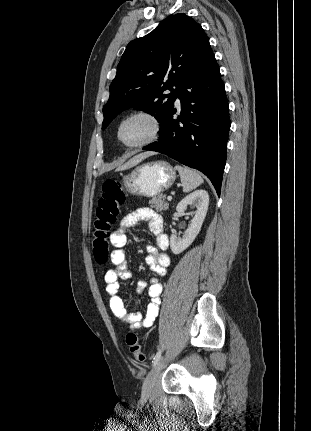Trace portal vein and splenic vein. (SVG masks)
Masks as SVG:
<instances>
[{
	"label": "portal vein and splenic vein",
	"instance_id": "portal-vein-and-splenic-vein-1",
	"mask_svg": "<svg viewBox=\"0 0 311 431\" xmlns=\"http://www.w3.org/2000/svg\"><path fill=\"white\" fill-rule=\"evenodd\" d=\"M167 200H168V202H171L172 196H167Z\"/></svg>",
	"mask_w": 311,
	"mask_h": 431
}]
</instances>
